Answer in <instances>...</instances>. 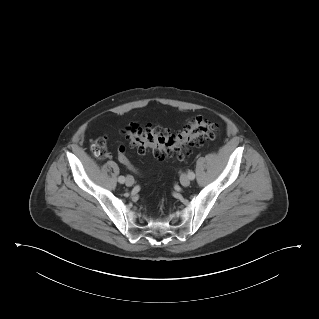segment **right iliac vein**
<instances>
[{"mask_svg":"<svg viewBox=\"0 0 319 319\" xmlns=\"http://www.w3.org/2000/svg\"><path fill=\"white\" fill-rule=\"evenodd\" d=\"M125 183L128 187H131L134 184V178L132 176H127Z\"/></svg>","mask_w":319,"mask_h":319,"instance_id":"obj_1","label":"right iliac vein"}]
</instances>
